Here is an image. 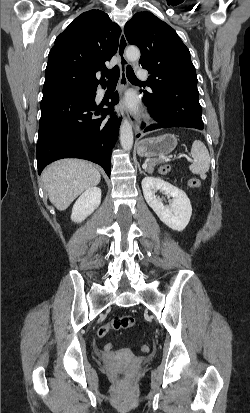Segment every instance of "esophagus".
<instances>
[{"mask_svg":"<svg viewBox=\"0 0 250 413\" xmlns=\"http://www.w3.org/2000/svg\"><path fill=\"white\" fill-rule=\"evenodd\" d=\"M127 45H128V42L126 40L124 32L122 31L120 39H119L118 57H119V67H120V72H121L119 83L123 89L127 87L126 67L128 65V61L125 55ZM128 118L133 128L139 131L140 128H139L137 117L135 115H130Z\"/></svg>","mask_w":250,"mask_h":413,"instance_id":"esophagus-1","label":"esophagus"}]
</instances>
